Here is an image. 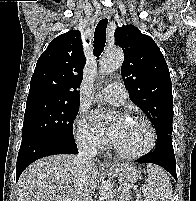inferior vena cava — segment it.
<instances>
[{
    "mask_svg": "<svg viewBox=\"0 0 196 201\" xmlns=\"http://www.w3.org/2000/svg\"><path fill=\"white\" fill-rule=\"evenodd\" d=\"M96 145L89 139L82 138L78 141V155L74 162L77 166V172L81 173L82 169L88 166L97 155ZM81 201H92L90 196H84Z\"/></svg>",
    "mask_w": 196,
    "mask_h": 201,
    "instance_id": "602c4592",
    "label": "inferior vena cava"
}]
</instances>
